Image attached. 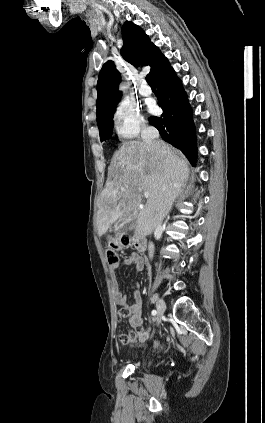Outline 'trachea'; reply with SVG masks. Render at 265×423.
Returning <instances> with one entry per match:
<instances>
[{"label":"trachea","mask_w":265,"mask_h":423,"mask_svg":"<svg viewBox=\"0 0 265 423\" xmlns=\"http://www.w3.org/2000/svg\"><path fill=\"white\" fill-rule=\"evenodd\" d=\"M146 81H147V83H148L149 85H155V84H154V82L152 81V79H151L150 75H147V76H146Z\"/></svg>","instance_id":"obj_1"}]
</instances>
